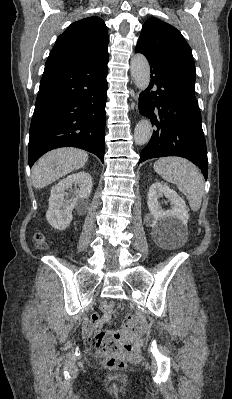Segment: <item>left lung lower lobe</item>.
<instances>
[{"label": "left lung lower lobe", "instance_id": "1", "mask_svg": "<svg viewBox=\"0 0 232 399\" xmlns=\"http://www.w3.org/2000/svg\"><path fill=\"white\" fill-rule=\"evenodd\" d=\"M135 52L144 54L137 49ZM144 55L150 63L151 80L139 96V110L155 129L141 151L139 163L151 158L179 156L197 165L207 180V148L197 99L159 61Z\"/></svg>", "mask_w": 232, "mask_h": 399}]
</instances>
